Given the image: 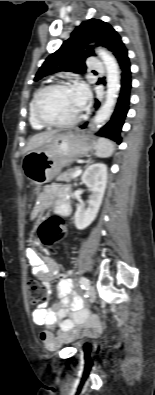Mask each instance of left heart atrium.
I'll return each mask as SVG.
<instances>
[{"instance_id": "1", "label": "left heart atrium", "mask_w": 155, "mask_h": 395, "mask_svg": "<svg viewBox=\"0 0 155 395\" xmlns=\"http://www.w3.org/2000/svg\"><path fill=\"white\" fill-rule=\"evenodd\" d=\"M75 98L79 110H83L89 100V91L85 84L78 83L74 88Z\"/></svg>"}]
</instances>
